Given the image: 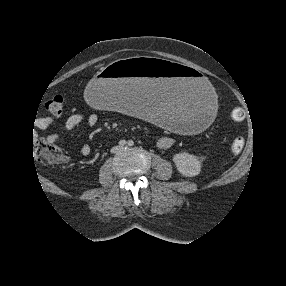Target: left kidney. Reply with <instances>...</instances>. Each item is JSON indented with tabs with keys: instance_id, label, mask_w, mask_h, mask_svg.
<instances>
[{
	"instance_id": "1",
	"label": "left kidney",
	"mask_w": 286,
	"mask_h": 286,
	"mask_svg": "<svg viewBox=\"0 0 286 286\" xmlns=\"http://www.w3.org/2000/svg\"><path fill=\"white\" fill-rule=\"evenodd\" d=\"M173 162L179 173L185 177H194L201 171L200 161L189 153H178L173 156Z\"/></svg>"
}]
</instances>
